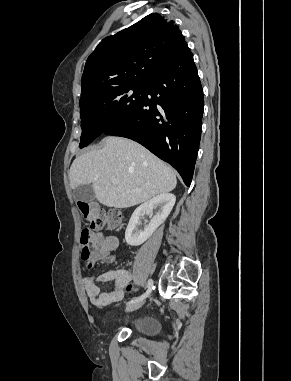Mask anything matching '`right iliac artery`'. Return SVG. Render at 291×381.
<instances>
[{"label":"right iliac artery","mask_w":291,"mask_h":381,"mask_svg":"<svg viewBox=\"0 0 291 381\" xmlns=\"http://www.w3.org/2000/svg\"><path fill=\"white\" fill-rule=\"evenodd\" d=\"M153 288H154V286H153V281H152V279H149V280H148V287H147L146 292H144V294H142L141 296H139V297H137V298H134V299L131 300L128 304H132V303H134V302L143 300L144 298H146V297L150 294V292L152 291Z\"/></svg>","instance_id":"1"}]
</instances>
